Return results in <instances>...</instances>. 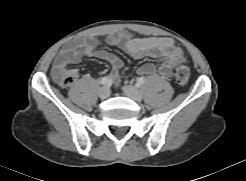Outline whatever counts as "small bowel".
Returning a JSON list of instances; mask_svg holds the SVG:
<instances>
[{
    "mask_svg": "<svg viewBox=\"0 0 246 181\" xmlns=\"http://www.w3.org/2000/svg\"><path fill=\"white\" fill-rule=\"evenodd\" d=\"M102 44L119 47L135 59L144 57L155 59L156 64L144 63L138 68L141 75L158 73L163 78H169L173 66L183 57L181 48L172 38H136L125 33H112L101 41L94 36H84L72 40L60 51L54 61L53 71L67 69L69 64L78 62L83 57H91L107 61L112 67L113 77L117 78L123 67V61L115 53L102 48Z\"/></svg>",
    "mask_w": 246,
    "mask_h": 181,
    "instance_id": "1",
    "label": "small bowel"
}]
</instances>
